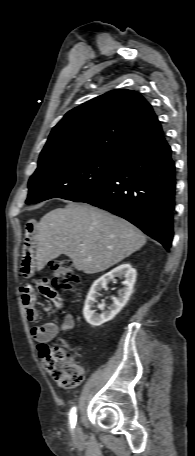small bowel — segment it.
Masks as SVG:
<instances>
[{
  "label": "small bowel",
  "instance_id": "obj_1",
  "mask_svg": "<svg viewBox=\"0 0 195 456\" xmlns=\"http://www.w3.org/2000/svg\"><path fill=\"white\" fill-rule=\"evenodd\" d=\"M37 240V226L35 220H28L25 225V238L21 260V273L29 277L34 269V245ZM37 288L46 297L60 306V301L56 293L50 288L46 280H38ZM21 300L28 321H35L38 317L36 309V295L33 287L25 286L21 290ZM74 319L71 315H66L61 321H52L46 324L35 326L31 329L32 338L38 343H46L55 338L60 332L72 329Z\"/></svg>",
  "mask_w": 195,
  "mask_h": 456
}]
</instances>
